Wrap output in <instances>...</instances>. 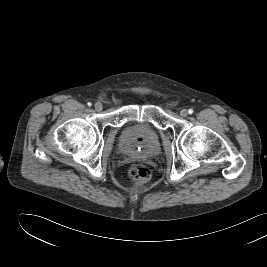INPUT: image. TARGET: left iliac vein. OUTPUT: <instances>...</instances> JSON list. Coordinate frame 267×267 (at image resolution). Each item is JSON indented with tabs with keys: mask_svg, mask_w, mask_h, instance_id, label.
<instances>
[{
	"mask_svg": "<svg viewBox=\"0 0 267 267\" xmlns=\"http://www.w3.org/2000/svg\"><path fill=\"white\" fill-rule=\"evenodd\" d=\"M180 115H181L182 117H186V116L188 115V111H187L186 109H182V110L180 111Z\"/></svg>",
	"mask_w": 267,
	"mask_h": 267,
	"instance_id": "left-iliac-vein-1",
	"label": "left iliac vein"
}]
</instances>
